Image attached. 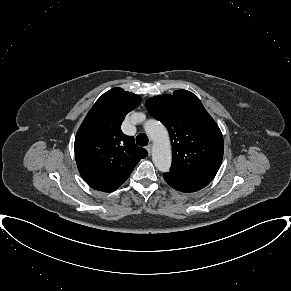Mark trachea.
<instances>
[{
	"label": "trachea",
	"mask_w": 291,
	"mask_h": 291,
	"mask_svg": "<svg viewBox=\"0 0 291 291\" xmlns=\"http://www.w3.org/2000/svg\"><path fill=\"white\" fill-rule=\"evenodd\" d=\"M149 140L146 134L141 133L136 137V143L139 146H146L148 144Z\"/></svg>",
	"instance_id": "3493384b"
}]
</instances>
